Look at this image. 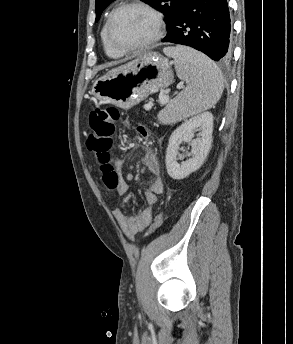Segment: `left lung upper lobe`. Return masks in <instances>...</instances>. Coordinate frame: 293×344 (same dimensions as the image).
<instances>
[{
  "label": "left lung upper lobe",
  "mask_w": 293,
  "mask_h": 344,
  "mask_svg": "<svg viewBox=\"0 0 293 344\" xmlns=\"http://www.w3.org/2000/svg\"><path fill=\"white\" fill-rule=\"evenodd\" d=\"M114 0H96V21L100 18L103 10ZM153 8L161 11L165 15V23L167 30L169 31L174 23V20L178 14L181 2L183 0H141Z\"/></svg>",
  "instance_id": "obj_1"
}]
</instances>
